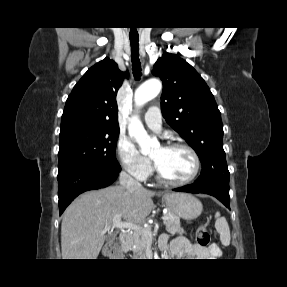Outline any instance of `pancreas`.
Returning a JSON list of instances; mask_svg holds the SVG:
<instances>
[{
	"instance_id": "1",
	"label": "pancreas",
	"mask_w": 287,
	"mask_h": 287,
	"mask_svg": "<svg viewBox=\"0 0 287 287\" xmlns=\"http://www.w3.org/2000/svg\"><path fill=\"white\" fill-rule=\"evenodd\" d=\"M167 216V219L164 220V224L166 226V230L174 235L179 234L183 235L185 233L184 229L181 228L180 225V218L176 215H174L171 212H168L165 214ZM147 229H151V227H147ZM150 236L144 234L141 231H135L131 236L132 246H133V253L134 256H140L145 258L146 249H147V242L149 240Z\"/></svg>"
}]
</instances>
